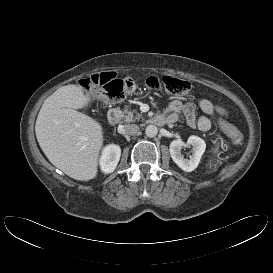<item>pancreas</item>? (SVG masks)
Instances as JSON below:
<instances>
[{"label":"pancreas","instance_id":"pancreas-1","mask_svg":"<svg viewBox=\"0 0 273 273\" xmlns=\"http://www.w3.org/2000/svg\"><path fill=\"white\" fill-rule=\"evenodd\" d=\"M134 113H136V110H129L127 107L124 109L123 111V118L125 122H135V121H139V120H143L144 117L142 116V114L137 113L136 115H134Z\"/></svg>","mask_w":273,"mask_h":273}]
</instances>
